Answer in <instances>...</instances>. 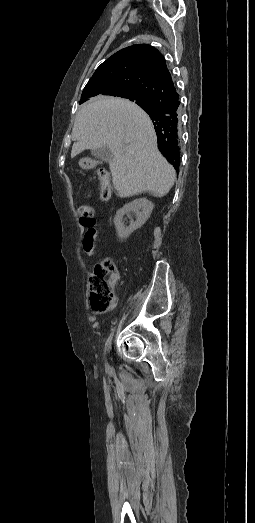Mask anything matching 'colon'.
<instances>
[{"label":"colon","mask_w":255,"mask_h":523,"mask_svg":"<svg viewBox=\"0 0 255 523\" xmlns=\"http://www.w3.org/2000/svg\"><path fill=\"white\" fill-rule=\"evenodd\" d=\"M98 176L101 184L100 198L107 201L111 196L108 174L100 169ZM80 221L84 225L93 223V208L88 204L81 205L78 209ZM118 281V273L114 263L109 258L99 261L89 280L90 303L94 312H105L111 309L115 303V286Z\"/></svg>","instance_id":"5ec220e1"}]
</instances>
